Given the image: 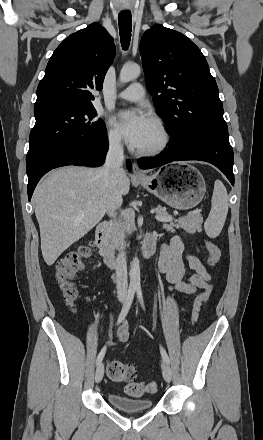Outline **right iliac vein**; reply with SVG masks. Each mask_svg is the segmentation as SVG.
<instances>
[{"label":"right iliac vein","instance_id":"63e3f726","mask_svg":"<svg viewBox=\"0 0 263 440\" xmlns=\"http://www.w3.org/2000/svg\"><path fill=\"white\" fill-rule=\"evenodd\" d=\"M103 375H104V365L103 363H99L95 372V381L99 383L102 380Z\"/></svg>","mask_w":263,"mask_h":440}]
</instances>
